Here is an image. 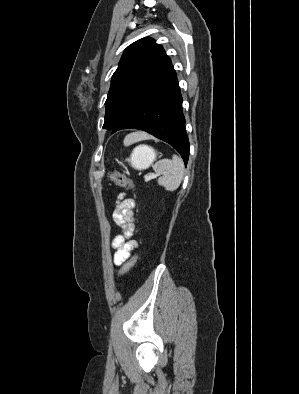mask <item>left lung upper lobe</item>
Returning <instances> with one entry per match:
<instances>
[{"instance_id": "obj_1", "label": "left lung upper lobe", "mask_w": 299, "mask_h": 394, "mask_svg": "<svg viewBox=\"0 0 299 394\" xmlns=\"http://www.w3.org/2000/svg\"><path fill=\"white\" fill-rule=\"evenodd\" d=\"M171 65L163 47L152 38L129 45L112 76L103 128L113 129L147 87Z\"/></svg>"}]
</instances>
